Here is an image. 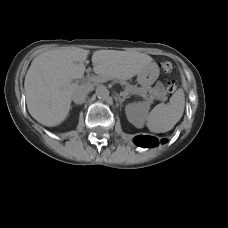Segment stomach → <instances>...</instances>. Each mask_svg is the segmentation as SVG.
Segmentation results:
<instances>
[{
  "instance_id": "1",
  "label": "stomach",
  "mask_w": 228,
  "mask_h": 228,
  "mask_svg": "<svg viewBox=\"0 0 228 228\" xmlns=\"http://www.w3.org/2000/svg\"><path fill=\"white\" fill-rule=\"evenodd\" d=\"M158 75L159 68L155 63H152L138 73L137 81L142 87L148 88L156 81Z\"/></svg>"
}]
</instances>
